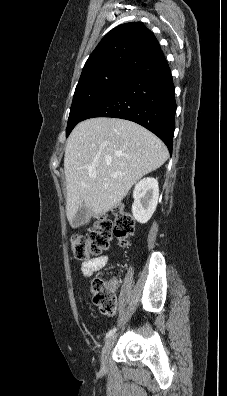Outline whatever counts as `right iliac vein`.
Here are the masks:
<instances>
[{"label": "right iliac vein", "mask_w": 227, "mask_h": 396, "mask_svg": "<svg viewBox=\"0 0 227 396\" xmlns=\"http://www.w3.org/2000/svg\"><path fill=\"white\" fill-rule=\"evenodd\" d=\"M116 337H117V335L110 336L104 344V347L102 349V355H101V363H102L103 367L107 366L108 356L111 351V348L113 347V345L116 341Z\"/></svg>", "instance_id": "right-iliac-vein-1"}]
</instances>
